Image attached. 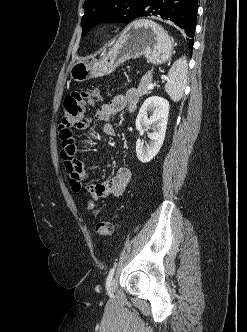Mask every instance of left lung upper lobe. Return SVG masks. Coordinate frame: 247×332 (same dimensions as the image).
<instances>
[{
  "instance_id": "left-lung-upper-lobe-1",
  "label": "left lung upper lobe",
  "mask_w": 247,
  "mask_h": 332,
  "mask_svg": "<svg viewBox=\"0 0 247 332\" xmlns=\"http://www.w3.org/2000/svg\"><path fill=\"white\" fill-rule=\"evenodd\" d=\"M147 0H85V13L81 20L82 36L100 23H129L138 17V13Z\"/></svg>"
}]
</instances>
